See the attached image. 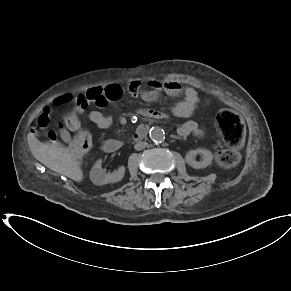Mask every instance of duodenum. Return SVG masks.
<instances>
[{"mask_svg":"<svg viewBox=\"0 0 291 291\" xmlns=\"http://www.w3.org/2000/svg\"><path fill=\"white\" fill-rule=\"evenodd\" d=\"M150 112H158V111H151V110H147ZM148 132V127L146 125H140L136 132L132 135L131 140L133 142H137L141 139H143L146 134ZM122 147V142L116 139H108L106 140L103 145L102 148L106 153H113L118 151L120 148Z\"/></svg>","mask_w":291,"mask_h":291,"instance_id":"obj_1","label":"duodenum"}]
</instances>
